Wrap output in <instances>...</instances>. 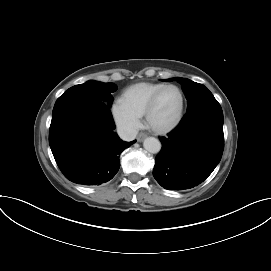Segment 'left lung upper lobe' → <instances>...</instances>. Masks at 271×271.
Segmentation results:
<instances>
[{
	"instance_id": "1",
	"label": "left lung upper lobe",
	"mask_w": 271,
	"mask_h": 271,
	"mask_svg": "<svg viewBox=\"0 0 271 271\" xmlns=\"http://www.w3.org/2000/svg\"><path fill=\"white\" fill-rule=\"evenodd\" d=\"M175 80L182 84V90L187 98V110L200 103L216 100L212 93L204 85L193 82L189 79L172 78L163 81Z\"/></svg>"
}]
</instances>
